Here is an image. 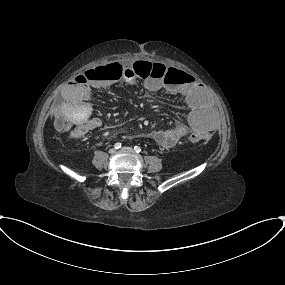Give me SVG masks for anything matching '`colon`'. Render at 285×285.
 <instances>
[{
  "label": "colon",
  "mask_w": 285,
  "mask_h": 285,
  "mask_svg": "<svg viewBox=\"0 0 285 285\" xmlns=\"http://www.w3.org/2000/svg\"><path fill=\"white\" fill-rule=\"evenodd\" d=\"M109 70L115 71L118 75L122 76L127 74L128 76H136L141 79H156L162 81L168 86H175L185 83L189 80V76L180 70L174 68H168L160 63H151L147 61H133L127 67L113 63L108 65ZM103 76V72L100 70H88L82 73V77L87 80L100 79ZM56 125L59 130L63 132H71L75 129V125L66 113H59L56 117ZM188 140L193 143L207 142L209 136L203 132L192 133Z\"/></svg>",
  "instance_id": "1"
}]
</instances>
